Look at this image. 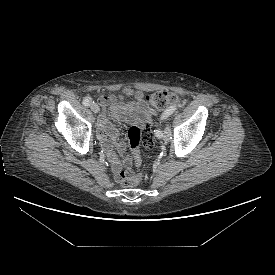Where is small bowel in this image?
I'll use <instances>...</instances> for the list:
<instances>
[{
	"instance_id": "1",
	"label": "small bowel",
	"mask_w": 275,
	"mask_h": 275,
	"mask_svg": "<svg viewBox=\"0 0 275 275\" xmlns=\"http://www.w3.org/2000/svg\"><path fill=\"white\" fill-rule=\"evenodd\" d=\"M98 100L101 105V114L98 118V138L111 162L115 179L118 182H122L127 174L131 172L129 169L122 170L121 161L117 153L123 154L126 150V145L118 141L119 131L110 122L109 117L143 128L146 125L152 127L157 114L146 104L144 93L131 87H125L120 96L102 94L98 97ZM125 163L130 165L131 158L126 157Z\"/></svg>"
}]
</instances>
